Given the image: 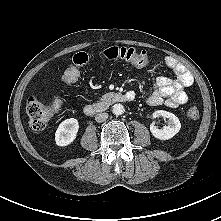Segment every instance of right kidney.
<instances>
[{"mask_svg":"<svg viewBox=\"0 0 221 221\" xmlns=\"http://www.w3.org/2000/svg\"><path fill=\"white\" fill-rule=\"evenodd\" d=\"M79 129V123L77 119L69 118L64 120L58 127L55 133V142L58 146H67L71 144Z\"/></svg>","mask_w":221,"mask_h":221,"instance_id":"ca27d5eb","label":"right kidney"}]
</instances>
